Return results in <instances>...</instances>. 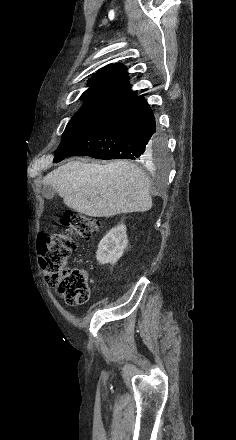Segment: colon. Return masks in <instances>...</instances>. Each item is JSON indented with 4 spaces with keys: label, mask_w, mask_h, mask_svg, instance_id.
Listing matches in <instances>:
<instances>
[{
    "label": "colon",
    "mask_w": 236,
    "mask_h": 440,
    "mask_svg": "<svg viewBox=\"0 0 236 440\" xmlns=\"http://www.w3.org/2000/svg\"><path fill=\"white\" fill-rule=\"evenodd\" d=\"M61 223L65 230L38 235L40 266L47 284L57 288L67 304H85L90 296L88 274L82 268L68 266V262L78 241L89 239L100 223L74 211L65 212Z\"/></svg>",
    "instance_id": "colon-1"
}]
</instances>
